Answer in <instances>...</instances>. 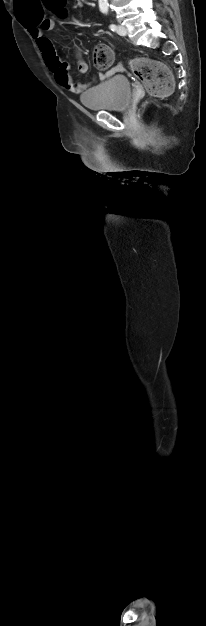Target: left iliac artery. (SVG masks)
<instances>
[{
    "label": "left iliac artery",
    "mask_w": 206,
    "mask_h": 626,
    "mask_svg": "<svg viewBox=\"0 0 206 626\" xmlns=\"http://www.w3.org/2000/svg\"><path fill=\"white\" fill-rule=\"evenodd\" d=\"M104 13H107V12H104ZM109 28H110L112 31H116L117 26H116L115 24H111V25L109 26Z\"/></svg>",
    "instance_id": "left-iliac-artery-1"
}]
</instances>
